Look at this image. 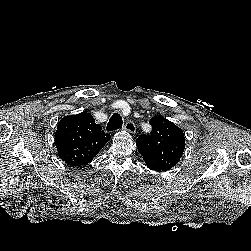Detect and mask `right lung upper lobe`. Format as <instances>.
<instances>
[{
    "label": "right lung upper lobe",
    "mask_w": 251,
    "mask_h": 251,
    "mask_svg": "<svg viewBox=\"0 0 251 251\" xmlns=\"http://www.w3.org/2000/svg\"><path fill=\"white\" fill-rule=\"evenodd\" d=\"M87 112L65 116L57 126L55 144L60 158L70 166L87 165L110 139Z\"/></svg>",
    "instance_id": "obj_1"
}]
</instances>
